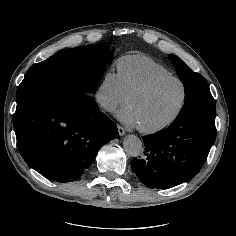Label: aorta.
Returning a JSON list of instances; mask_svg holds the SVG:
<instances>
[{"instance_id": "762f6f07", "label": "aorta", "mask_w": 236, "mask_h": 236, "mask_svg": "<svg viewBox=\"0 0 236 236\" xmlns=\"http://www.w3.org/2000/svg\"><path fill=\"white\" fill-rule=\"evenodd\" d=\"M124 151L131 157H138L143 152L142 141L136 135H127L123 141Z\"/></svg>"}]
</instances>
